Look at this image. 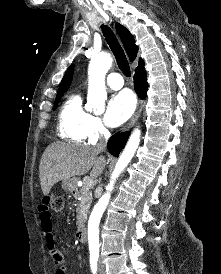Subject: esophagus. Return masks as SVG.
I'll return each instance as SVG.
<instances>
[{
    "instance_id": "34e87169",
    "label": "esophagus",
    "mask_w": 221,
    "mask_h": 274,
    "mask_svg": "<svg viewBox=\"0 0 221 274\" xmlns=\"http://www.w3.org/2000/svg\"><path fill=\"white\" fill-rule=\"evenodd\" d=\"M142 105H143V102H142V100H140L135 113L133 114V116L131 117L129 122L124 126L123 131L129 130L134 125V123L137 121V119L139 118L141 111H142Z\"/></svg>"
}]
</instances>
